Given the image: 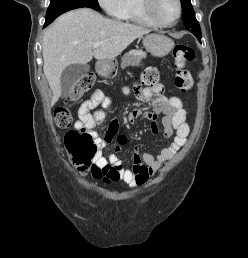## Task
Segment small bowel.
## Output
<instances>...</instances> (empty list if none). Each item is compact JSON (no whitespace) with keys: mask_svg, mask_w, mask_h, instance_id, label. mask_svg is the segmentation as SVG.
<instances>
[{"mask_svg":"<svg viewBox=\"0 0 248 258\" xmlns=\"http://www.w3.org/2000/svg\"><path fill=\"white\" fill-rule=\"evenodd\" d=\"M163 92L162 85L152 88H138L136 95L144 103H149L152 97L155 96L154 111L144 113L137 109L132 110L129 114V120L134 121L144 116L152 121L151 129L153 133H156V115L157 113H162L163 138L168 139L173 136L171 144L163 148L156 157L150 153H141V146L136 147L132 157L133 167L131 169L124 168L122 161L116 155L111 154L108 158H105L101 152H98L94 160L95 164L99 168H111L118 172V178L110 175L101 176V181L113 182L121 180L131 188L142 187L147 183L150 176L156 173L164 163L172 159L180 148L184 146L190 128L186 122V111L182 100L177 96L166 97ZM111 103V99L105 96L101 90H95L91 98L84 101L78 109V120L74 125V129L90 133L98 148H103L107 143H110L119 128L118 120L113 119L109 124L104 139L94 130L97 125L105 121L106 113L104 109L109 108ZM98 106H101L102 109H96Z\"/></svg>","mask_w":248,"mask_h":258,"instance_id":"c3829d8e","label":"small bowel"}]
</instances>
